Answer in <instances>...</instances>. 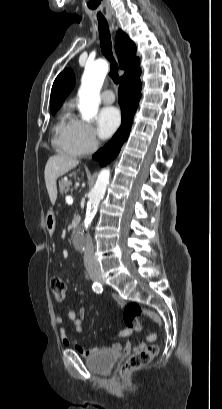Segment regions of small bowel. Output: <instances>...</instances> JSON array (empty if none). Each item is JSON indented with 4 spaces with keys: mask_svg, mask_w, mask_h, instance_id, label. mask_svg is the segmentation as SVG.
<instances>
[{
    "mask_svg": "<svg viewBox=\"0 0 222 409\" xmlns=\"http://www.w3.org/2000/svg\"><path fill=\"white\" fill-rule=\"evenodd\" d=\"M116 301L123 306L124 302L121 298L119 297H115ZM85 311L83 308H81L79 310V314H76L74 311H70L68 313V317L69 320L71 321V323L73 324V326L75 327L77 332H81L82 331V325H83V317H84ZM55 323L60 327V333L64 339V341L71 346L74 350H76L79 354L83 355V356H91L94 354H97L103 350H107V349H114L116 351L121 350L123 351L125 354H128L131 352L132 350V345L130 342L125 343L124 345H120V344H113V345H104V346H99L93 349H85L79 342H77L74 338L70 337L65 328L63 327V318L60 315H56L55 317ZM131 334V331L129 329H124L121 332H119V336H129ZM156 334L155 333H151L149 335H147L146 339L144 341L139 342V344L135 347V349H139L142 348L143 346H145L146 342H152L154 340H156Z\"/></svg>",
    "mask_w": 222,
    "mask_h": 409,
    "instance_id": "small-bowel-1",
    "label": "small bowel"
}]
</instances>
